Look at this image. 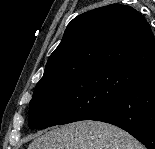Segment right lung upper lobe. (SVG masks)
Returning <instances> with one entry per match:
<instances>
[{
    "mask_svg": "<svg viewBox=\"0 0 155 149\" xmlns=\"http://www.w3.org/2000/svg\"><path fill=\"white\" fill-rule=\"evenodd\" d=\"M110 68L130 69L145 77L155 75L151 27L127 5H107L74 18L49 57L40 81Z\"/></svg>",
    "mask_w": 155,
    "mask_h": 149,
    "instance_id": "1",
    "label": "right lung upper lobe"
}]
</instances>
